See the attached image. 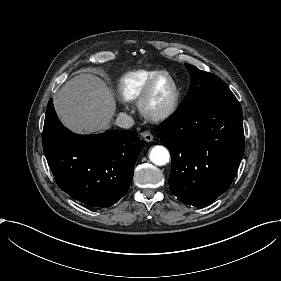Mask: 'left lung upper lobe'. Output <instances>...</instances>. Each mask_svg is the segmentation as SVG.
<instances>
[{
	"label": "left lung upper lobe",
	"mask_w": 281,
	"mask_h": 281,
	"mask_svg": "<svg viewBox=\"0 0 281 281\" xmlns=\"http://www.w3.org/2000/svg\"><path fill=\"white\" fill-rule=\"evenodd\" d=\"M185 66L189 70L191 84L179 109L216 100L235 98L230 89L216 75L199 70L189 64H185Z\"/></svg>",
	"instance_id": "obj_1"
}]
</instances>
